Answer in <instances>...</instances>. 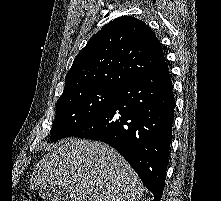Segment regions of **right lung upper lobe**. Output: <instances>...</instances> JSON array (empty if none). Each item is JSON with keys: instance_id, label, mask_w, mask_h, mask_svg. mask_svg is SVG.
Wrapping results in <instances>:
<instances>
[{"instance_id": "cb5924a9", "label": "right lung upper lobe", "mask_w": 221, "mask_h": 201, "mask_svg": "<svg viewBox=\"0 0 221 201\" xmlns=\"http://www.w3.org/2000/svg\"><path fill=\"white\" fill-rule=\"evenodd\" d=\"M164 62L163 50L150 27L122 16L104 26L80 51L66 75L62 95L88 88L118 90Z\"/></svg>"}]
</instances>
